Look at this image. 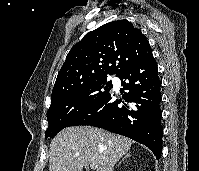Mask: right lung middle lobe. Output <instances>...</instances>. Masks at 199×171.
<instances>
[{
    "mask_svg": "<svg viewBox=\"0 0 199 171\" xmlns=\"http://www.w3.org/2000/svg\"><path fill=\"white\" fill-rule=\"evenodd\" d=\"M106 80L107 77H104L84 83L51 103L47 112L49 126L45 138L54 137L76 117L106 96L112 88L111 82L106 83Z\"/></svg>",
    "mask_w": 199,
    "mask_h": 171,
    "instance_id": "obj_1",
    "label": "right lung middle lobe"
}]
</instances>
